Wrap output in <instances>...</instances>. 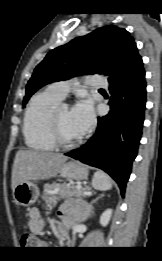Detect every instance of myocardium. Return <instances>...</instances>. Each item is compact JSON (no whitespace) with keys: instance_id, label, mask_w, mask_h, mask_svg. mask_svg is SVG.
Returning <instances> with one entry per match:
<instances>
[{"instance_id":"myocardium-1","label":"myocardium","mask_w":162,"mask_h":261,"mask_svg":"<svg viewBox=\"0 0 162 261\" xmlns=\"http://www.w3.org/2000/svg\"><path fill=\"white\" fill-rule=\"evenodd\" d=\"M60 108L61 107H55L49 115L48 126H49L50 136H51L52 141L55 144V146L65 148V149L73 148L81 142L82 137L80 136L73 141H67L62 137L59 126H58V122H57V114H58V110Z\"/></svg>"}]
</instances>
